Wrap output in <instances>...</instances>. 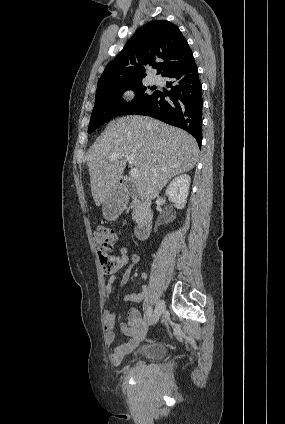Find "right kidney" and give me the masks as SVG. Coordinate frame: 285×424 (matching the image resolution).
<instances>
[{
  "instance_id": "1",
  "label": "right kidney",
  "mask_w": 285,
  "mask_h": 424,
  "mask_svg": "<svg viewBox=\"0 0 285 424\" xmlns=\"http://www.w3.org/2000/svg\"><path fill=\"white\" fill-rule=\"evenodd\" d=\"M190 181L189 175L182 174L175 177L166 189V196L174 203L177 209H183L187 203Z\"/></svg>"
}]
</instances>
